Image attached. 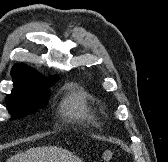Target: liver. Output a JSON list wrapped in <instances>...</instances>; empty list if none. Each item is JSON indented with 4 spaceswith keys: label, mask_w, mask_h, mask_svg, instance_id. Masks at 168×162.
<instances>
[{
    "label": "liver",
    "mask_w": 168,
    "mask_h": 162,
    "mask_svg": "<svg viewBox=\"0 0 168 162\" xmlns=\"http://www.w3.org/2000/svg\"><path fill=\"white\" fill-rule=\"evenodd\" d=\"M7 162H83L79 157L61 147H36L19 153Z\"/></svg>",
    "instance_id": "liver-1"
}]
</instances>
